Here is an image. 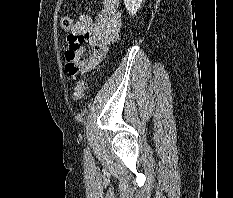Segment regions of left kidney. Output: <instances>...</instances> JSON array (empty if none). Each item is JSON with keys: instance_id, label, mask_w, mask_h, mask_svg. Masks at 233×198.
<instances>
[{"instance_id": "5707ae66", "label": "left kidney", "mask_w": 233, "mask_h": 198, "mask_svg": "<svg viewBox=\"0 0 233 198\" xmlns=\"http://www.w3.org/2000/svg\"><path fill=\"white\" fill-rule=\"evenodd\" d=\"M145 0H124L125 7L132 16L136 15Z\"/></svg>"}]
</instances>
